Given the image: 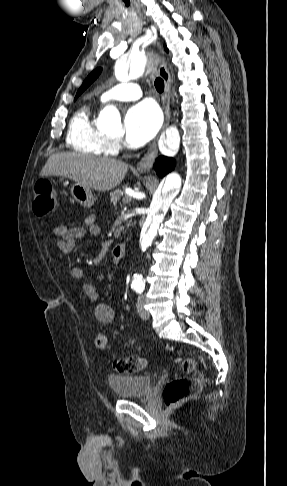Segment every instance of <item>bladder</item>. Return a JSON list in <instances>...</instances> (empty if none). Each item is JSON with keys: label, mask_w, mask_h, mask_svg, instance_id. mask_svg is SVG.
I'll list each match as a JSON object with an SVG mask.
<instances>
[{"label": "bladder", "mask_w": 287, "mask_h": 486, "mask_svg": "<svg viewBox=\"0 0 287 486\" xmlns=\"http://www.w3.org/2000/svg\"><path fill=\"white\" fill-rule=\"evenodd\" d=\"M153 382V377L145 374L113 375L108 378L111 390L121 399L147 395L152 389Z\"/></svg>", "instance_id": "bladder-1"}]
</instances>
